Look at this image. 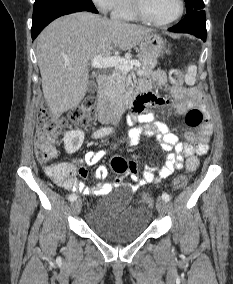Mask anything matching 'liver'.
Here are the masks:
<instances>
[{"mask_svg": "<svg viewBox=\"0 0 233 284\" xmlns=\"http://www.w3.org/2000/svg\"><path fill=\"white\" fill-rule=\"evenodd\" d=\"M153 30L100 15L79 12L60 17L38 36L36 56L44 98L57 120L84 98L88 65L94 57L129 50Z\"/></svg>", "mask_w": 233, "mask_h": 284, "instance_id": "obj_1", "label": "liver"}]
</instances>
